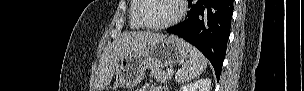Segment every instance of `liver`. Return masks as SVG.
<instances>
[{
  "instance_id": "6515ba94",
  "label": "liver",
  "mask_w": 304,
  "mask_h": 91,
  "mask_svg": "<svg viewBox=\"0 0 304 91\" xmlns=\"http://www.w3.org/2000/svg\"><path fill=\"white\" fill-rule=\"evenodd\" d=\"M163 36L148 32H128L117 37L104 51L96 80L97 91H103L111 82L119 60L127 53L143 48L152 38Z\"/></svg>"
}]
</instances>
